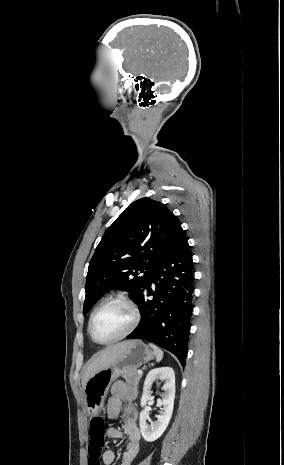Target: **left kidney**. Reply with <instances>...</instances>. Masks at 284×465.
Segmentation results:
<instances>
[{
  "label": "left kidney",
  "mask_w": 284,
  "mask_h": 465,
  "mask_svg": "<svg viewBox=\"0 0 284 465\" xmlns=\"http://www.w3.org/2000/svg\"><path fill=\"white\" fill-rule=\"evenodd\" d=\"M164 381V385L162 387V391H165L162 395V401H157V407L159 405H163V409L159 411L160 415H156L157 421L148 425L147 417L148 411L146 409L147 401L152 399L150 389L153 383L156 381ZM174 399H175V373L171 367H161V369H152L149 371L144 387H143V395L141 397V407L142 411L140 413V431L143 439L148 441V443H152V441H156L159 439L161 435H163L165 429H167L170 419L173 413L174 407Z\"/></svg>",
  "instance_id": "obj_1"
}]
</instances>
